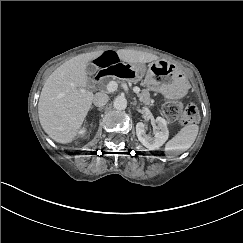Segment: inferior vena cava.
<instances>
[{"mask_svg":"<svg viewBox=\"0 0 243 243\" xmlns=\"http://www.w3.org/2000/svg\"><path fill=\"white\" fill-rule=\"evenodd\" d=\"M108 99L109 97L107 94L98 92L93 98V103L97 107L104 106L108 102Z\"/></svg>","mask_w":243,"mask_h":243,"instance_id":"obj_1","label":"inferior vena cava"}]
</instances>
